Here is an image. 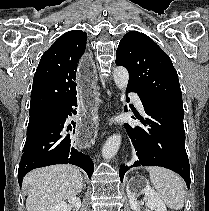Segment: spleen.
Masks as SVG:
<instances>
[{
    "mask_svg": "<svg viewBox=\"0 0 209 211\" xmlns=\"http://www.w3.org/2000/svg\"><path fill=\"white\" fill-rule=\"evenodd\" d=\"M150 180L158 196L172 210H180L184 206L185 184L180 176L162 168L151 167Z\"/></svg>",
    "mask_w": 209,
    "mask_h": 211,
    "instance_id": "1",
    "label": "spleen"
}]
</instances>
